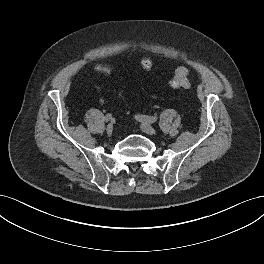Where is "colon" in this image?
Here are the masks:
<instances>
[{
	"label": "colon",
	"mask_w": 264,
	"mask_h": 264,
	"mask_svg": "<svg viewBox=\"0 0 264 264\" xmlns=\"http://www.w3.org/2000/svg\"><path fill=\"white\" fill-rule=\"evenodd\" d=\"M140 66L143 70L148 71L152 67V60L148 57L141 59ZM98 72L103 74H110L111 69L105 64H100L96 67ZM189 71L185 67H179L176 69L174 76L168 81V85L173 89H187L190 87L188 79Z\"/></svg>",
	"instance_id": "colon-1"
}]
</instances>
